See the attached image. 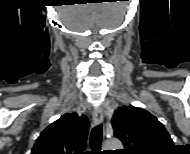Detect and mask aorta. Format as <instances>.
Instances as JSON below:
<instances>
[{
	"label": "aorta",
	"mask_w": 190,
	"mask_h": 154,
	"mask_svg": "<svg viewBox=\"0 0 190 154\" xmlns=\"http://www.w3.org/2000/svg\"><path fill=\"white\" fill-rule=\"evenodd\" d=\"M121 148H122L121 141L115 138L107 140L103 145V149L105 150H116Z\"/></svg>",
	"instance_id": "1"
}]
</instances>
